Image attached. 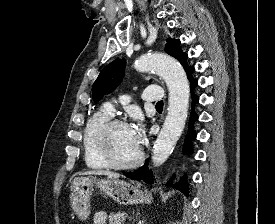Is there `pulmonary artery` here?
Instances as JSON below:
<instances>
[{
  "label": "pulmonary artery",
  "mask_w": 275,
  "mask_h": 224,
  "mask_svg": "<svg viewBox=\"0 0 275 224\" xmlns=\"http://www.w3.org/2000/svg\"><path fill=\"white\" fill-rule=\"evenodd\" d=\"M141 97L145 101H161L164 97V92L160 87H147L142 91ZM104 110L112 114L114 111L113 104L111 102L105 103Z\"/></svg>",
  "instance_id": "pulmonary-artery-1"
}]
</instances>
